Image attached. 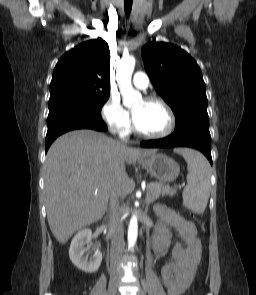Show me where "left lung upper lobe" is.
I'll use <instances>...</instances> for the list:
<instances>
[{"label": "left lung upper lobe", "instance_id": "5c2ea615", "mask_svg": "<svg viewBox=\"0 0 256 295\" xmlns=\"http://www.w3.org/2000/svg\"><path fill=\"white\" fill-rule=\"evenodd\" d=\"M142 59L154 88L174 112V132L186 127L209 129L206 87L196 61L164 42L146 44Z\"/></svg>", "mask_w": 256, "mask_h": 295}]
</instances>
